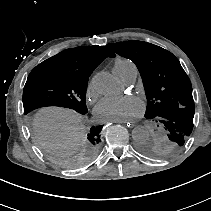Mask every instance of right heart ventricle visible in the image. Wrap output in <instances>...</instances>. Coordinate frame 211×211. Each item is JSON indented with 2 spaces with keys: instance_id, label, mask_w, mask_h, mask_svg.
Returning <instances> with one entry per match:
<instances>
[{
  "instance_id": "e07e8e85",
  "label": "right heart ventricle",
  "mask_w": 211,
  "mask_h": 211,
  "mask_svg": "<svg viewBox=\"0 0 211 211\" xmlns=\"http://www.w3.org/2000/svg\"><path fill=\"white\" fill-rule=\"evenodd\" d=\"M137 70V67L135 63L128 59V58H118L116 59L114 66H113V71L114 73L122 79L125 75L128 73Z\"/></svg>"
}]
</instances>
